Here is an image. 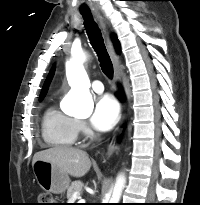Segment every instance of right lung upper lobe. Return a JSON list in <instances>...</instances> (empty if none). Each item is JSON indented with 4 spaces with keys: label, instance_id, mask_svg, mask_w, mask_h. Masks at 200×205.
<instances>
[{
    "label": "right lung upper lobe",
    "instance_id": "1",
    "mask_svg": "<svg viewBox=\"0 0 200 205\" xmlns=\"http://www.w3.org/2000/svg\"><path fill=\"white\" fill-rule=\"evenodd\" d=\"M112 40H113V43H114L116 50L119 52L120 44H119L118 39L116 37H113ZM53 75H54V68H52L51 72L49 73V75H48V77L43 85L42 91L40 93V98H44V96L46 95L47 90H48V86L50 84V81H51Z\"/></svg>",
    "mask_w": 200,
    "mask_h": 205
}]
</instances>
